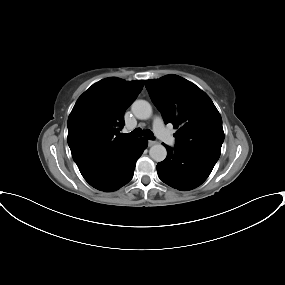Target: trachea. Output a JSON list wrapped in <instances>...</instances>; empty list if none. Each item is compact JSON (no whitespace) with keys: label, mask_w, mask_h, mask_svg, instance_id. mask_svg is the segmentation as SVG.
<instances>
[{"label":"trachea","mask_w":285,"mask_h":285,"mask_svg":"<svg viewBox=\"0 0 285 285\" xmlns=\"http://www.w3.org/2000/svg\"><path fill=\"white\" fill-rule=\"evenodd\" d=\"M143 132L142 129L136 128L131 133L122 134L124 138H137L142 136ZM144 136L149 140H154V134L151 130L147 129L144 131Z\"/></svg>","instance_id":"obj_1"}]
</instances>
